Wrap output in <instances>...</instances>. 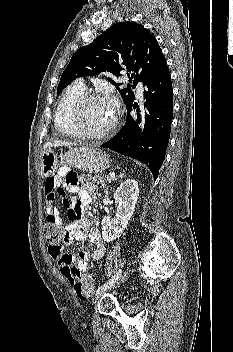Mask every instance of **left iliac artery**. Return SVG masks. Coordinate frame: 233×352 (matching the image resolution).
Segmentation results:
<instances>
[{
    "mask_svg": "<svg viewBox=\"0 0 233 352\" xmlns=\"http://www.w3.org/2000/svg\"><path fill=\"white\" fill-rule=\"evenodd\" d=\"M121 269L105 284H103L102 286H100L97 289V293L106 290L107 288H109L110 286H112L117 280L118 278L121 276Z\"/></svg>",
    "mask_w": 233,
    "mask_h": 352,
    "instance_id": "left-iliac-artery-1",
    "label": "left iliac artery"
}]
</instances>
